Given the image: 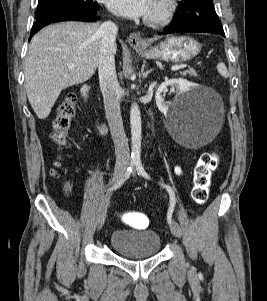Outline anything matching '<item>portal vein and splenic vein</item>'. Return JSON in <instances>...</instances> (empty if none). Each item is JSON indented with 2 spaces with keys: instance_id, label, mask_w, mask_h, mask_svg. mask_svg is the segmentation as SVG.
Listing matches in <instances>:
<instances>
[{
  "instance_id": "portal-vein-and-splenic-vein-1",
  "label": "portal vein and splenic vein",
  "mask_w": 267,
  "mask_h": 301,
  "mask_svg": "<svg viewBox=\"0 0 267 301\" xmlns=\"http://www.w3.org/2000/svg\"><path fill=\"white\" fill-rule=\"evenodd\" d=\"M69 67L72 68V67H74V65L71 64ZM184 67H186V65H176V66H173V67L171 68V70H172V71H178V70H180L181 68H184Z\"/></svg>"
}]
</instances>
